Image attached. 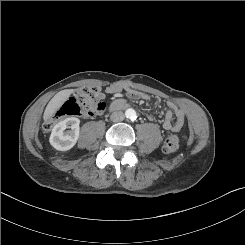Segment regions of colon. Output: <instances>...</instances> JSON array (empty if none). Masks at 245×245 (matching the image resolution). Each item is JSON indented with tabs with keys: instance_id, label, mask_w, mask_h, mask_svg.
Wrapping results in <instances>:
<instances>
[{
	"instance_id": "5ec220e1",
	"label": "colon",
	"mask_w": 245,
	"mask_h": 245,
	"mask_svg": "<svg viewBox=\"0 0 245 245\" xmlns=\"http://www.w3.org/2000/svg\"><path fill=\"white\" fill-rule=\"evenodd\" d=\"M106 108L104 96L98 87H83L78 89L69 97L48 119L44 125L46 130H51L61 119L73 116L94 117L104 112ZM179 148V138L177 135L168 136L162 144V150L173 153Z\"/></svg>"
}]
</instances>
